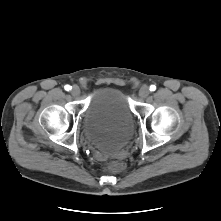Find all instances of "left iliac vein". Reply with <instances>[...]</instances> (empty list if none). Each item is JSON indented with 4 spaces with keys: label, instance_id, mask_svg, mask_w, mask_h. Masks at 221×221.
<instances>
[{
    "label": "left iliac vein",
    "instance_id": "left-iliac-vein-1",
    "mask_svg": "<svg viewBox=\"0 0 221 221\" xmlns=\"http://www.w3.org/2000/svg\"><path fill=\"white\" fill-rule=\"evenodd\" d=\"M150 93L149 87L147 85H143L139 90V96L141 98H146Z\"/></svg>",
    "mask_w": 221,
    "mask_h": 221
}]
</instances>
